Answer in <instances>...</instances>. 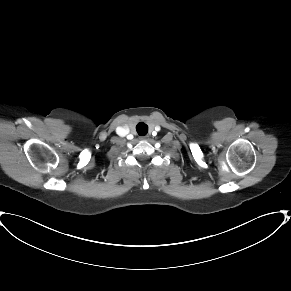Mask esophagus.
Returning <instances> with one entry per match:
<instances>
[{
	"label": "esophagus",
	"instance_id": "34e87169",
	"mask_svg": "<svg viewBox=\"0 0 291 291\" xmlns=\"http://www.w3.org/2000/svg\"><path fill=\"white\" fill-rule=\"evenodd\" d=\"M142 139H147V136L142 137Z\"/></svg>",
	"mask_w": 291,
	"mask_h": 291
}]
</instances>
